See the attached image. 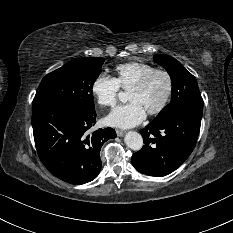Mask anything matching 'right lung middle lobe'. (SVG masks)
Returning a JSON list of instances; mask_svg holds the SVG:
<instances>
[{
  "instance_id": "obj_1",
  "label": "right lung middle lobe",
  "mask_w": 233,
  "mask_h": 233,
  "mask_svg": "<svg viewBox=\"0 0 233 233\" xmlns=\"http://www.w3.org/2000/svg\"><path fill=\"white\" fill-rule=\"evenodd\" d=\"M104 58H79L47 74L41 81L33 107L67 106L95 112L93 83L101 72Z\"/></svg>"
}]
</instances>
